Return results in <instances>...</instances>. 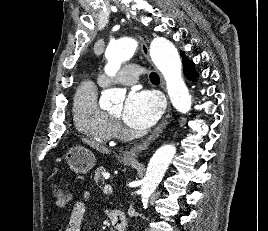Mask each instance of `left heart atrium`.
<instances>
[{
    "instance_id": "39dd6f15",
    "label": "left heart atrium",
    "mask_w": 268,
    "mask_h": 231,
    "mask_svg": "<svg viewBox=\"0 0 268 231\" xmlns=\"http://www.w3.org/2000/svg\"><path fill=\"white\" fill-rule=\"evenodd\" d=\"M162 109L161 100L154 92L133 89L126 98L122 116L128 126L144 129L159 119Z\"/></svg>"
}]
</instances>
